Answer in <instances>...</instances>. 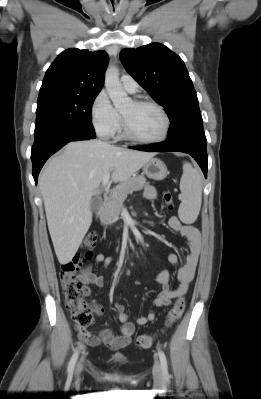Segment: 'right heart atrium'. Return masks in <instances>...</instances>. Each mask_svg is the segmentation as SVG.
Wrapping results in <instances>:
<instances>
[{
  "label": "right heart atrium",
  "instance_id": "d8ad5b80",
  "mask_svg": "<svg viewBox=\"0 0 261 399\" xmlns=\"http://www.w3.org/2000/svg\"><path fill=\"white\" fill-rule=\"evenodd\" d=\"M90 113L92 125L100 137L112 138L120 130L121 117L104 91L94 98Z\"/></svg>",
  "mask_w": 261,
  "mask_h": 399
}]
</instances>
